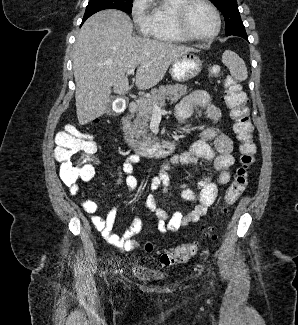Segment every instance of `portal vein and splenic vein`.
I'll return each mask as SVG.
<instances>
[{
  "mask_svg": "<svg viewBox=\"0 0 298 325\" xmlns=\"http://www.w3.org/2000/svg\"><path fill=\"white\" fill-rule=\"evenodd\" d=\"M134 70L135 68H129V70H127V74H134ZM152 110L153 112H161L162 108L159 106L158 102H155V104L152 106Z\"/></svg>",
  "mask_w": 298,
  "mask_h": 325,
  "instance_id": "18ae733b",
  "label": "portal vein and splenic vein"
}]
</instances>
